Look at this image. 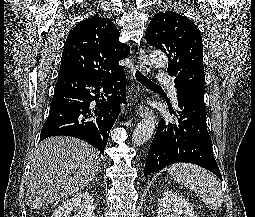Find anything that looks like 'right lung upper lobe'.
<instances>
[{"instance_id": "obj_1", "label": "right lung upper lobe", "mask_w": 255, "mask_h": 217, "mask_svg": "<svg viewBox=\"0 0 255 217\" xmlns=\"http://www.w3.org/2000/svg\"><path fill=\"white\" fill-rule=\"evenodd\" d=\"M119 36L114 23L106 18L94 16L79 23L66 39L58 79L105 78L123 73L118 62L129 50Z\"/></svg>"}]
</instances>
